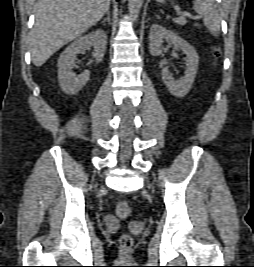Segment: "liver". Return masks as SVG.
I'll return each instance as SVG.
<instances>
[{
    "mask_svg": "<svg viewBox=\"0 0 254 267\" xmlns=\"http://www.w3.org/2000/svg\"><path fill=\"white\" fill-rule=\"evenodd\" d=\"M110 0H40L30 33L32 62L42 66L107 13Z\"/></svg>",
    "mask_w": 254,
    "mask_h": 267,
    "instance_id": "obj_1",
    "label": "liver"
}]
</instances>
